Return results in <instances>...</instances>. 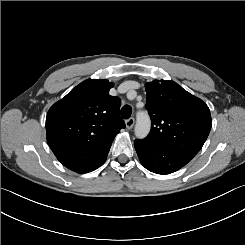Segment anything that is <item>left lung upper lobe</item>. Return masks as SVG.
<instances>
[{"label":"left lung upper lobe","mask_w":245,"mask_h":245,"mask_svg":"<svg viewBox=\"0 0 245 245\" xmlns=\"http://www.w3.org/2000/svg\"><path fill=\"white\" fill-rule=\"evenodd\" d=\"M146 109L152 120L141 141L173 151L190 161L206 141L212 121L208 106L173 81L146 83Z\"/></svg>","instance_id":"obj_1"}]
</instances>
